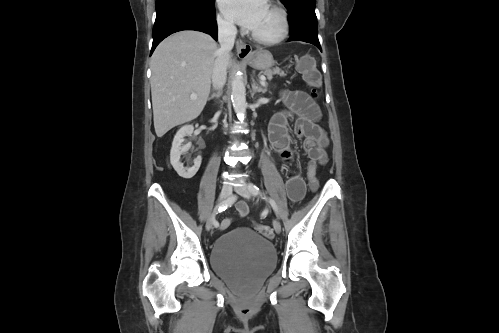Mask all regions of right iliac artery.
Returning <instances> with one entry per match:
<instances>
[{
	"label": "right iliac artery",
	"instance_id": "82829eb1",
	"mask_svg": "<svg viewBox=\"0 0 499 333\" xmlns=\"http://www.w3.org/2000/svg\"><path fill=\"white\" fill-rule=\"evenodd\" d=\"M235 200H236V196L235 195L229 197L227 200H225L222 203H220V205L216 208V210L218 212L224 211L228 207H231L232 204L235 202Z\"/></svg>",
	"mask_w": 499,
	"mask_h": 333
}]
</instances>
